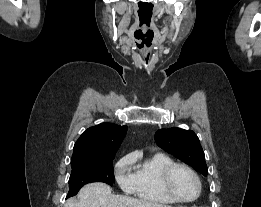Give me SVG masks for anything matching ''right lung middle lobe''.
<instances>
[{
  "mask_svg": "<svg viewBox=\"0 0 261 207\" xmlns=\"http://www.w3.org/2000/svg\"><path fill=\"white\" fill-rule=\"evenodd\" d=\"M113 159L114 157L108 160L72 164L67 198L76 195L87 183L104 182L113 185L115 183Z\"/></svg>",
  "mask_w": 261,
  "mask_h": 207,
  "instance_id": "obj_1",
  "label": "right lung middle lobe"
}]
</instances>
